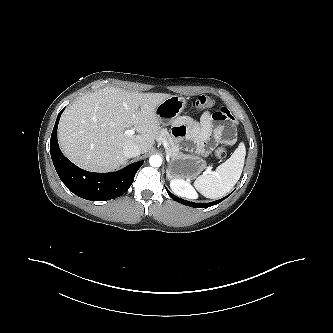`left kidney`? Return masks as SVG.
<instances>
[{"instance_id": "obj_1", "label": "left kidney", "mask_w": 333, "mask_h": 333, "mask_svg": "<svg viewBox=\"0 0 333 333\" xmlns=\"http://www.w3.org/2000/svg\"><path fill=\"white\" fill-rule=\"evenodd\" d=\"M170 187L173 192H175L177 195L186 197L189 199H196L198 197L196 191L193 189V187L184 180L181 179H171L170 181Z\"/></svg>"}]
</instances>
